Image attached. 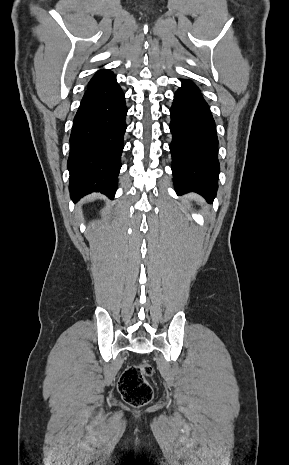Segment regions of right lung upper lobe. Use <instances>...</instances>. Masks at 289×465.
I'll return each mask as SVG.
<instances>
[{"instance_id": "obj_1", "label": "right lung upper lobe", "mask_w": 289, "mask_h": 465, "mask_svg": "<svg viewBox=\"0 0 289 465\" xmlns=\"http://www.w3.org/2000/svg\"><path fill=\"white\" fill-rule=\"evenodd\" d=\"M115 79L114 74L109 70H99L90 80L88 87H95L106 84Z\"/></svg>"}]
</instances>
